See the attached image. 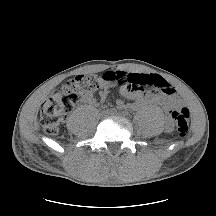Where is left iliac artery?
<instances>
[{
    "mask_svg": "<svg viewBox=\"0 0 216 216\" xmlns=\"http://www.w3.org/2000/svg\"><path fill=\"white\" fill-rule=\"evenodd\" d=\"M123 115L127 116L128 115V111H123Z\"/></svg>",
    "mask_w": 216,
    "mask_h": 216,
    "instance_id": "1",
    "label": "left iliac artery"
}]
</instances>
